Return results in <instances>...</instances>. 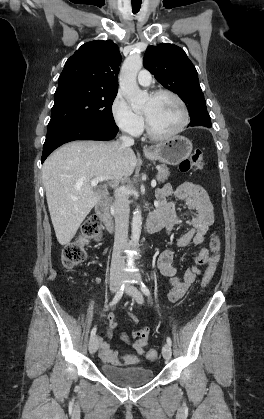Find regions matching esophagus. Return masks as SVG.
Wrapping results in <instances>:
<instances>
[{
	"label": "esophagus",
	"mask_w": 264,
	"mask_h": 419,
	"mask_svg": "<svg viewBox=\"0 0 264 419\" xmlns=\"http://www.w3.org/2000/svg\"><path fill=\"white\" fill-rule=\"evenodd\" d=\"M149 151H150V149H149V148H147V147H144V148H143V152H144V153H148Z\"/></svg>",
	"instance_id": "1"
}]
</instances>
